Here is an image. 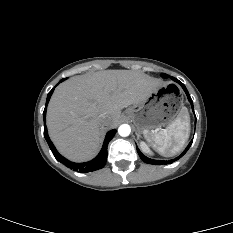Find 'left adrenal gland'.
<instances>
[{
  "label": "left adrenal gland",
  "instance_id": "1",
  "mask_svg": "<svg viewBox=\"0 0 233 233\" xmlns=\"http://www.w3.org/2000/svg\"><path fill=\"white\" fill-rule=\"evenodd\" d=\"M137 138H138V139L140 138V134H139V133L137 134Z\"/></svg>",
  "mask_w": 233,
  "mask_h": 233
}]
</instances>
